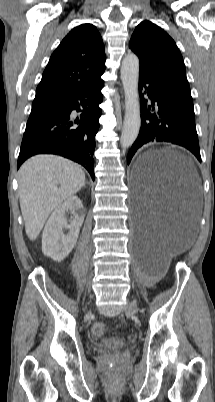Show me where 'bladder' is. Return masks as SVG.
Here are the masks:
<instances>
[{
    "label": "bladder",
    "instance_id": "obj_1",
    "mask_svg": "<svg viewBox=\"0 0 215 402\" xmlns=\"http://www.w3.org/2000/svg\"><path fill=\"white\" fill-rule=\"evenodd\" d=\"M126 341L121 338H109L102 341V346L110 349H121L126 346Z\"/></svg>",
    "mask_w": 215,
    "mask_h": 402
}]
</instances>
